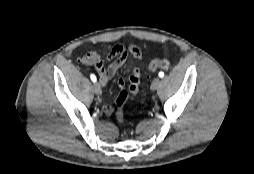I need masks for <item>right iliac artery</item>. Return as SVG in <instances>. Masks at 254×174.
<instances>
[{
  "label": "right iliac artery",
  "instance_id": "right-iliac-artery-1",
  "mask_svg": "<svg viewBox=\"0 0 254 174\" xmlns=\"http://www.w3.org/2000/svg\"><path fill=\"white\" fill-rule=\"evenodd\" d=\"M90 78H91V80H92L93 82H96V80H97V79H96V76H95L94 74H91V75H90Z\"/></svg>",
  "mask_w": 254,
  "mask_h": 174
}]
</instances>
